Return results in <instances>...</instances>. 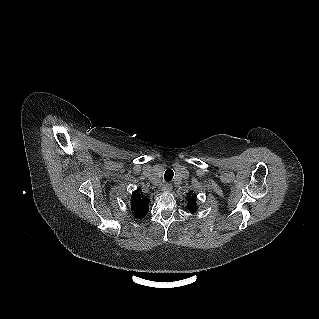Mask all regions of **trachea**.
I'll return each instance as SVG.
<instances>
[{
	"instance_id": "trachea-1",
	"label": "trachea",
	"mask_w": 319,
	"mask_h": 319,
	"mask_svg": "<svg viewBox=\"0 0 319 319\" xmlns=\"http://www.w3.org/2000/svg\"><path fill=\"white\" fill-rule=\"evenodd\" d=\"M174 172L171 169H167L164 174V179L166 182H170L173 179Z\"/></svg>"
}]
</instances>
